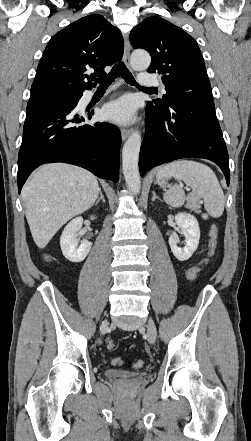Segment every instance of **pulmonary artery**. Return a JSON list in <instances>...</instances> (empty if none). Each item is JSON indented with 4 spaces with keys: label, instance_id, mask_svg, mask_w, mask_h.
Listing matches in <instances>:
<instances>
[{
    "label": "pulmonary artery",
    "instance_id": "pulmonary-artery-1",
    "mask_svg": "<svg viewBox=\"0 0 251 441\" xmlns=\"http://www.w3.org/2000/svg\"><path fill=\"white\" fill-rule=\"evenodd\" d=\"M138 81L141 85H144V86H160L161 91L163 93H165V88L160 85L159 81L155 77H153L149 74L141 73L139 75ZM92 95H93V93L89 92L87 97L91 98Z\"/></svg>",
    "mask_w": 251,
    "mask_h": 441
}]
</instances>
